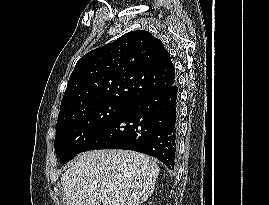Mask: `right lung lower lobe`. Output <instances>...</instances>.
<instances>
[{"mask_svg":"<svg viewBox=\"0 0 269 205\" xmlns=\"http://www.w3.org/2000/svg\"><path fill=\"white\" fill-rule=\"evenodd\" d=\"M179 129L178 88L173 85L129 104L83 149H126L151 155L174 169Z\"/></svg>","mask_w":269,"mask_h":205,"instance_id":"right-lung-lower-lobe-1","label":"right lung lower lobe"}]
</instances>
